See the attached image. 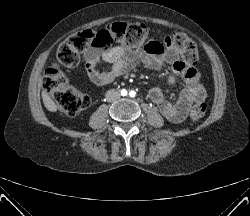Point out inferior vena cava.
I'll list each match as a JSON object with an SVG mask.
<instances>
[{"mask_svg": "<svg viewBox=\"0 0 250 216\" xmlns=\"http://www.w3.org/2000/svg\"><path fill=\"white\" fill-rule=\"evenodd\" d=\"M120 98V93L114 89L108 90L106 93V99L108 102L116 101Z\"/></svg>", "mask_w": 250, "mask_h": 216, "instance_id": "obj_1", "label": "inferior vena cava"}]
</instances>
